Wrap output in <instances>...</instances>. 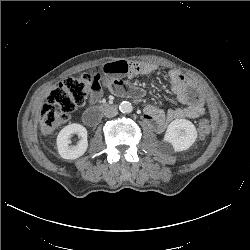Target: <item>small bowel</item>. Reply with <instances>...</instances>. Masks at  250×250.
Segmentation results:
<instances>
[{"label": "small bowel", "instance_id": "obj_1", "mask_svg": "<svg viewBox=\"0 0 250 250\" xmlns=\"http://www.w3.org/2000/svg\"><path fill=\"white\" fill-rule=\"evenodd\" d=\"M155 70V66L148 63L116 61L106 63L101 72L94 73L91 91V102L98 101L103 87L114 94L131 97H141V88L129 86L124 78L137 75H147ZM171 91L183 107L171 108L164 111L149 105L145 108V120L156 131L162 132L168 124L182 118H198L204 114V100L197 88L177 71L169 72Z\"/></svg>", "mask_w": 250, "mask_h": 250}]
</instances>
